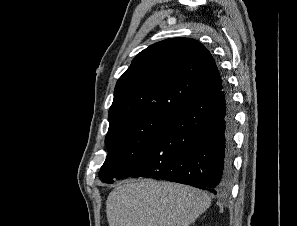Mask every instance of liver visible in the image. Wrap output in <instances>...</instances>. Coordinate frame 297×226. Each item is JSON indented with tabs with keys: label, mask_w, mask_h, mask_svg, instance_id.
Here are the masks:
<instances>
[{
	"label": "liver",
	"mask_w": 297,
	"mask_h": 226,
	"mask_svg": "<svg viewBox=\"0 0 297 226\" xmlns=\"http://www.w3.org/2000/svg\"><path fill=\"white\" fill-rule=\"evenodd\" d=\"M210 204V197L196 188L139 179L110 192L106 214L109 226H189Z\"/></svg>",
	"instance_id": "1"
}]
</instances>
